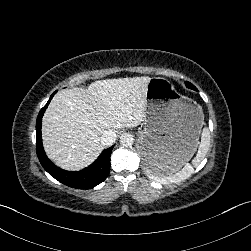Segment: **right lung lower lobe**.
<instances>
[{
	"label": "right lung lower lobe",
	"instance_id": "98d812e1",
	"mask_svg": "<svg viewBox=\"0 0 251 251\" xmlns=\"http://www.w3.org/2000/svg\"><path fill=\"white\" fill-rule=\"evenodd\" d=\"M57 91H55L47 104L40 110L37 121H36V150L37 155L39 158V161L43 168L56 180L59 182L77 189H91L101 182H103L107 176L109 175L110 171V155L113 149V146L105 149L100 156L95 160L94 163H92L87 168L76 171V172H70L65 171L57 166H55L46 156L43 145H42V139H41V121L43 114L50 103L52 97Z\"/></svg>",
	"mask_w": 251,
	"mask_h": 251
}]
</instances>
